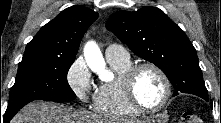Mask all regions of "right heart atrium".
I'll use <instances>...</instances> for the list:
<instances>
[{
  "mask_svg": "<svg viewBox=\"0 0 221 123\" xmlns=\"http://www.w3.org/2000/svg\"><path fill=\"white\" fill-rule=\"evenodd\" d=\"M67 83L83 103H87L90 99L94 100L95 93L92 88L90 72L81 58L76 59L69 67L66 74Z\"/></svg>",
  "mask_w": 221,
  "mask_h": 123,
  "instance_id": "right-heart-atrium-1",
  "label": "right heart atrium"
}]
</instances>
